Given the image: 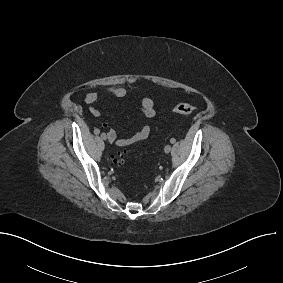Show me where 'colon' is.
<instances>
[{"instance_id":"obj_1","label":"colon","mask_w":283,"mask_h":283,"mask_svg":"<svg viewBox=\"0 0 283 283\" xmlns=\"http://www.w3.org/2000/svg\"><path fill=\"white\" fill-rule=\"evenodd\" d=\"M172 110H173L174 113H176L178 115L188 116V115H190L194 112L195 108H194V106H192L191 104H188V103H179V104L175 105ZM114 163L116 165H120L122 163L121 154L117 155L114 158Z\"/></svg>"}]
</instances>
